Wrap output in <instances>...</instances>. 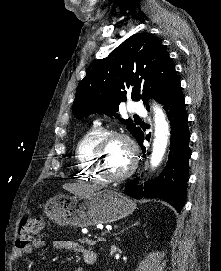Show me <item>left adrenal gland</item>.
Listing matches in <instances>:
<instances>
[{"label":"left adrenal gland","instance_id":"obj_1","mask_svg":"<svg viewBox=\"0 0 221 271\" xmlns=\"http://www.w3.org/2000/svg\"><path fill=\"white\" fill-rule=\"evenodd\" d=\"M137 223H139V221H135V223H132V225H137ZM132 225H129V227H132ZM125 229H128V227H125ZM122 231H124V229H122Z\"/></svg>","mask_w":221,"mask_h":271}]
</instances>
